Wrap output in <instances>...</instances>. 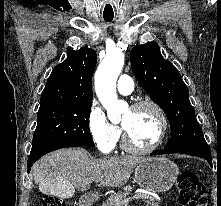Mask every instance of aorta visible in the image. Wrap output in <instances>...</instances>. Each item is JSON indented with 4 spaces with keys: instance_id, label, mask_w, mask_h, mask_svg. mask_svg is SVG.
Here are the masks:
<instances>
[{
    "instance_id": "aorta-1",
    "label": "aorta",
    "mask_w": 221,
    "mask_h": 206,
    "mask_svg": "<svg viewBox=\"0 0 221 206\" xmlns=\"http://www.w3.org/2000/svg\"><path fill=\"white\" fill-rule=\"evenodd\" d=\"M124 65V54L121 51L108 53L99 65L95 74L96 94L107 110L111 121L120 119L121 112L127 108L124 101L118 100L116 92L117 78Z\"/></svg>"
}]
</instances>
